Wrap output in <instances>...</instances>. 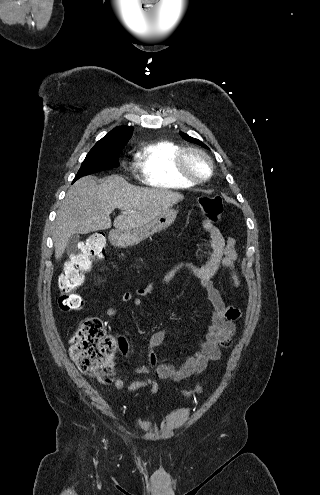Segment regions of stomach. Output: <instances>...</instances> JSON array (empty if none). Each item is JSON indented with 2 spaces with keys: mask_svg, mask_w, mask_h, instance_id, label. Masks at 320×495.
I'll use <instances>...</instances> for the list:
<instances>
[{
  "mask_svg": "<svg viewBox=\"0 0 320 495\" xmlns=\"http://www.w3.org/2000/svg\"><path fill=\"white\" fill-rule=\"evenodd\" d=\"M177 211L168 208L149 223L131 230L111 231L110 242L117 247H130L137 245L147 237L159 233L172 225L176 219Z\"/></svg>",
  "mask_w": 320,
  "mask_h": 495,
  "instance_id": "obj_1",
  "label": "stomach"
}]
</instances>
